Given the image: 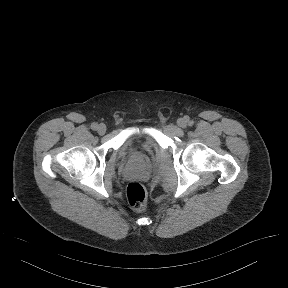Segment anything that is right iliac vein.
<instances>
[{
	"instance_id": "obj_1",
	"label": "right iliac vein",
	"mask_w": 288,
	"mask_h": 288,
	"mask_svg": "<svg viewBox=\"0 0 288 288\" xmlns=\"http://www.w3.org/2000/svg\"><path fill=\"white\" fill-rule=\"evenodd\" d=\"M106 126L105 124H99L97 127V131L100 135H104L106 133Z\"/></svg>"
}]
</instances>
